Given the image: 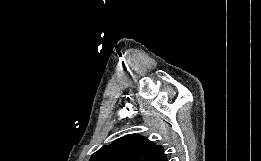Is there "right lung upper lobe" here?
Masks as SVG:
<instances>
[{"label":"right lung upper lobe","mask_w":261,"mask_h":161,"mask_svg":"<svg viewBox=\"0 0 261 161\" xmlns=\"http://www.w3.org/2000/svg\"><path fill=\"white\" fill-rule=\"evenodd\" d=\"M89 161H167L161 145L137 134L121 137L104 145Z\"/></svg>","instance_id":"obj_1"}]
</instances>
